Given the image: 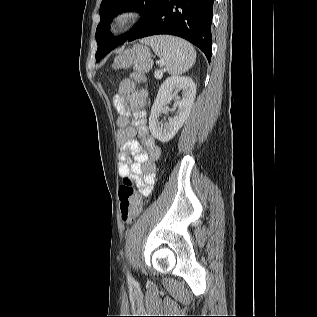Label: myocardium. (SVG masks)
<instances>
[{"instance_id": "myocardium-1", "label": "myocardium", "mask_w": 317, "mask_h": 317, "mask_svg": "<svg viewBox=\"0 0 317 317\" xmlns=\"http://www.w3.org/2000/svg\"><path fill=\"white\" fill-rule=\"evenodd\" d=\"M140 14L135 9H123L119 11L109 24L111 34H120L126 31L134 22L137 21Z\"/></svg>"}]
</instances>
